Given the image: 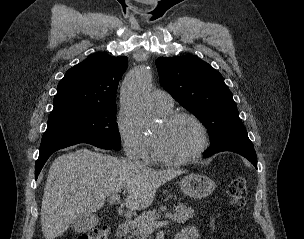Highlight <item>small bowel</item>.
Segmentation results:
<instances>
[{
	"instance_id": "c3829d8e",
	"label": "small bowel",
	"mask_w": 304,
	"mask_h": 239,
	"mask_svg": "<svg viewBox=\"0 0 304 239\" xmlns=\"http://www.w3.org/2000/svg\"><path fill=\"white\" fill-rule=\"evenodd\" d=\"M177 236L179 237V239H198L199 232L194 227H187L181 230Z\"/></svg>"
}]
</instances>
